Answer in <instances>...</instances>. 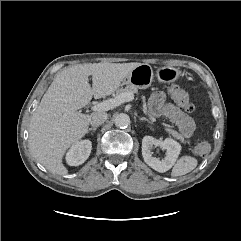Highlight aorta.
I'll use <instances>...</instances> for the list:
<instances>
[{
	"label": "aorta",
	"instance_id": "1",
	"mask_svg": "<svg viewBox=\"0 0 241 241\" xmlns=\"http://www.w3.org/2000/svg\"><path fill=\"white\" fill-rule=\"evenodd\" d=\"M115 125L119 128H126L130 125V117L125 113H120L115 117Z\"/></svg>",
	"mask_w": 241,
	"mask_h": 241
}]
</instances>
